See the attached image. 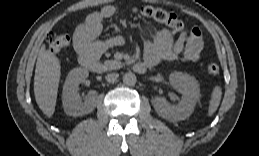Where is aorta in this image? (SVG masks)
Segmentation results:
<instances>
[{"instance_id": "aorta-1", "label": "aorta", "mask_w": 259, "mask_h": 156, "mask_svg": "<svg viewBox=\"0 0 259 156\" xmlns=\"http://www.w3.org/2000/svg\"><path fill=\"white\" fill-rule=\"evenodd\" d=\"M137 82V78L134 73L128 72L123 76V83L128 86H134Z\"/></svg>"}]
</instances>
